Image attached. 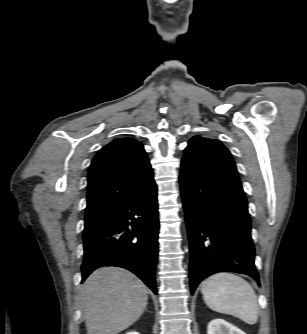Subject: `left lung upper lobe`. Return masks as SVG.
I'll return each mask as SVG.
<instances>
[{
  "label": "left lung upper lobe",
  "instance_id": "1",
  "mask_svg": "<svg viewBox=\"0 0 307 334\" xmlns=\"http://www.w3.org/2000/svg\"><path fill=\"white\" fill-rule=\"evenodd\" d=\"M181 170L241 184L230 152L215 139L192 137L185 149Z\"/></svg>",
  "mask_w": 307,
  "mask_h": 334
}]
</instances>
